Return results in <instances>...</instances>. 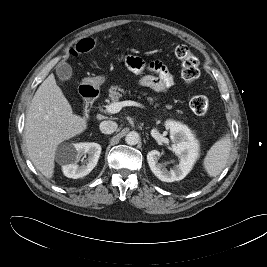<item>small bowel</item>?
I'll return each mask as SVG.
<instances>
[{
    "mask_svg": "<svg viewBox=\"0 0 267 267\" xmlns=\"http://www.w3.org/2000/svg\"><path fill=\"white\" fill-rule=\"evenodd\" d=\"M121 61L134 73L140 74L145 70H150L155 75H145L139 80L141 87L150 88L156 92H166L174 86L175 79L167 67L160 61L146 63L137 56H121Z\"/></svg>",
    "mask_w": 267,
    "mask_h": 267,
    "instance_id": "c3829d8e",
    "label": "small bowel"
}]
</instances>
